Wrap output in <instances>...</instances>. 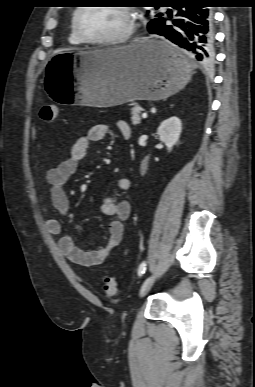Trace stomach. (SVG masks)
I'll list each match as a JSON object with an SVG mask.
<instances>
[{
    "label": "stomach",
    "instance_id": "1",
    "mask_svg": "<svg viewBox=\"0 0 255 387\" xmlns=\"http://www.w3.org/2000/svg\"><path fill=\"white\" fill-rule=\"evenodd\" d=\"M165 46L140 39L123 47L56 53L46 64L45 89L63 108L167 98L187 85L193 68Z\"/></svg>",
    "mask_w": 255,
    "mask_h": 387
}]
</instances>
